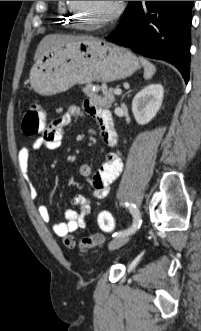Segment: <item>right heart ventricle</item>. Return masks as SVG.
Here are the masks:
<instances>
[{"label": "right heart ventricle", "mask_w": 201, "mask_h": 331, "mask_svg": "<svg viewBox=\"0 0 201 331\" xmlns=\"http://www.w3.org/2000/svg\"><path fill=\"white\" fill-rule=\"evenodd\" d=\"M57 10L61 20H65V22H68L72 26L77 24L75 14L69 8L68 1H58Z\"/></svg>", "instance_id": "obj_1"}]
</instances>
